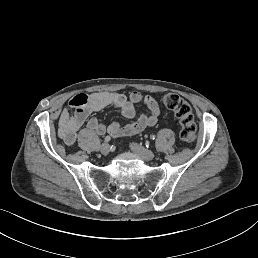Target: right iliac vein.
<instances>
[{"mask_svg":"<svg viewBox=\"0 0 258 258\" xmlns=\"http://www.w3.org/2000/svg\"><path fill=\"white\" fill-rule=\"evenodd\" d=\"M99 150H100V152H101L102 154L107 155V154H109L110 151H111V146H110L109 143L104 142V143H102V144L100 145Z\"/></svg>","mask_w":258,"mask_h":258,"instance_id":"right-iliac-vein-1","label":"right iliac vein"}]
</instances>
